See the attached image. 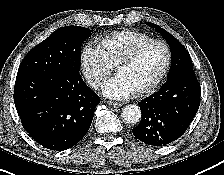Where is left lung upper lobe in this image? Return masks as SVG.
<instances>
[{
  "label": "left lung upper lobe",
  "instance_id": "1",
  "mask_svg": "<svg viewBox=\"0 0 224 175\" xmlns=\"http://www.w3.org/2000/svg\"><path fill=\"white\" fill-rule=\"evenodd\" d=\"M147 24L152 28H155V30L162 35V37L166 40V42L170 47L172 55V63L168 76L180 70H186V69L193 70L192 61L186 48L171 34H169L167 31H165L158 25H155L153 23H147Z\"/></svg>",
  "mask_w": 224,
  "mask_h": 175
}]
</instances>
